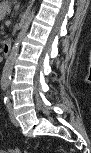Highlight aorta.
<instances>
[{"label":"aorta","instance_id":"obj_1","mask_svg":"<svg viewBox=\"0 0 91 153\" xmlns=\"http://www.w3.org/2000/svg\"><path fill=\"white\" fill-rule=\"evenodd\" d=\"M34 15H35V8H32L31 10L27 11L21 26V30L17 36V39L14 42V45L10 51L9 56L7 57L1 76V84L4 86H8L10 84L13 66L18 56L21 42L29 29V26L32 22Z\"/></svg>","mask_w":91,"mask_h":153}]
</instances>
